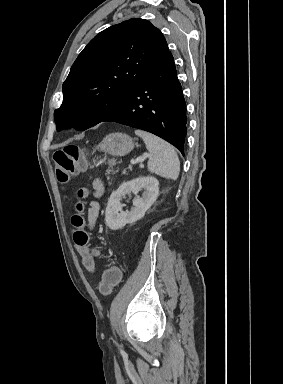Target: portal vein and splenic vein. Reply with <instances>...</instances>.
Returning a JSON list of instances; mask_svg holds the SVG:
<instances>
[{
	"label": "portal vein and splenic vein",
	"instance_id": "1",
	"mask_svg": "<svg viewBox=\"0 0 283 384\" xmlns=\"http://www.w3.org/2000/svg\"><path fill=\"white\" fill-rule=\"evenodd\" d=\"M153 154H143V156H140V158H137V160H131V164H137V162H144L146 158H152Z\"/></svg>",
	"mask_w": 283,
	"mask_h": 384
}]
</instances>
